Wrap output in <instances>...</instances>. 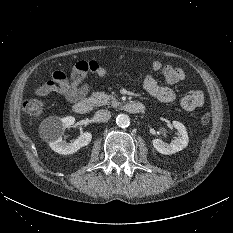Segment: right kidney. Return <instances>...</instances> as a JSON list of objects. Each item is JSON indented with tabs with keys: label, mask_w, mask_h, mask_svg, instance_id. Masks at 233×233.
<instances>
[{
	"label": "right kidney",
	"mask_w": 233,
	"mask_h": 233,
	"mask_svg": "<svg viewBox=\"0 0 233 233\" xmlns=\"http://www.w3.org/2000/svg\"><path fill=\"white\" fill-rule=\"evenodd\" d=\"M75 123V118L72 116L58 118L48 117L41 126L43 131V137L51 147V149L59 154H73L80 148L88 145L92 139L90 132H84L78 136L71 143H66L62 140L63 132L66 128L72 126Z\"/></svg>",
	"instance_id": "obj_1"
}]
</instances>
